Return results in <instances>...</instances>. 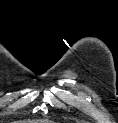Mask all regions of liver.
<instances>
[{
	"instance_id": "1",
	"label": "liver",
	"mask_w": 118,
	"mask_h": 123,
	"mask_svg": "<svg viewBox=\"0 0 118 123\" xmlns=\"http://www.w3.org/2000/svg\"><path fill=\"white\" fill-rule=\"evenodd\" d=\"M18 123H51L45 120H24Z\"/></svg>"
}]
</instances>
